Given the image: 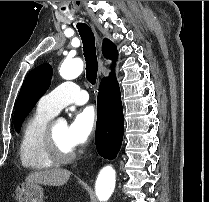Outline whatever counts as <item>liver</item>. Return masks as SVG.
<instances>
[{"label":"liver","mask_w":209,"mask_h":202,"mask_svg":"<svg viewBox=\"0 0 209 202\" xmlns=\"http://www.w3.org/2000/svg\"><path fill=\"white\" fill-rule=\"evenodd\" d=\"M71 172L66 169H49L30 173L26 183H36L48 186H62L70 178Z\"/></svg>","instance_id":"obj_1"}]
</instances>
